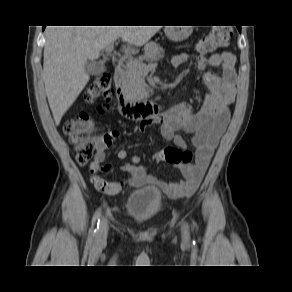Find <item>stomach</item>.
I'll list each match as a JSON object with an SVG mask.
<instances>
[{
	"label": "stomach",
	"mask_w": 292,
	"mask_h": 292,
	"mask_svg": "<svg viewBox=\"0 0 292 292\" xmlns=\"http://www.w3.org/2000/svg\"><path fill=\"white\" fill-rule=\"evenodd\" d=\"M191 29L185 28H169L166 31L167 37L173 41H183L189 37Z\"/></svg>",
	"instance_id": "obj_1"
}]
</instances>
